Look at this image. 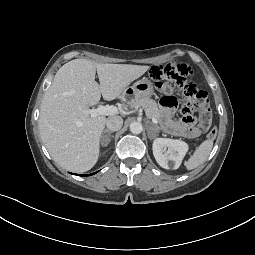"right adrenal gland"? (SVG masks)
Here are the masks:
<instances>
[{
	"label": "right adrenal gland",
	"mask_w": 255,
	"mask_h": 255,
	"mask_svg": "<svg viewBox=\"0 0 255 255\" xmlns=\"http://www.w3.org/2000/svg\"><path fill=\"white\" fill-rule=\"evenodd\" d=\"M104 133H106L107 135L102 136V138H103V140H104V138L107 136V141H106L105 143L102 141V142H101V145H102V146H107L108 143L110 142V138L112 137V136L110 135V133H112V131L106 129V130H104Z\"/></svg>",
	"instance_id": "obj_1"
}]
</instances>
